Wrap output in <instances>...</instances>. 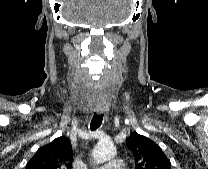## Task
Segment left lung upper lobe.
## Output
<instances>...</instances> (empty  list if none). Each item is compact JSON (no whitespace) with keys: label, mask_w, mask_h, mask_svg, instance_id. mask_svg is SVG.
I'll return each mask as SVG.
<instances>
[{"label":"left lung upper lobe","mask_w":208,"mask_h":169,"mask_svg":"<svg viewBox=\"0 0 208 169\" xmlns=\"http://www.w3.org/2000/svg\"><path fill=\"white\" fill-rule=\"evenodd\" d=\"M126 145L135 157L136 169H171L162 149L147 137L133 132Z\"/></svg>","instance_id":"5c2ea615"}]
</instances>
